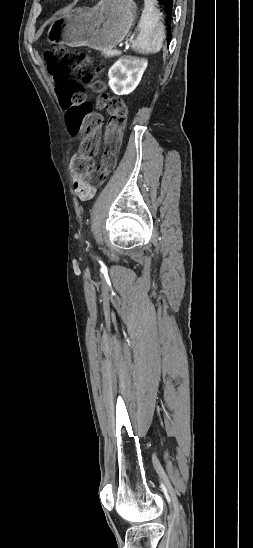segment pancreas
Returning <instances> with one entry per match:
<instances>
[{
  "label": "pancreas",
  "instance_id": "pancreas-1",
  "mask_svg": "<svg viewBox=\"0 0 253 548\" xmlns=\"http://www.w3.org/2000/svg\"><path fill=\"white\" fill-rule=\"evenodd\" d=\"M115 55H116V53H115L114 50H110V51H107V52L104 53V56L108 57V58L114 57Z\"/></svg>",
  "mask_w": 253,
  "mask_h": 548
}]
</instances>
